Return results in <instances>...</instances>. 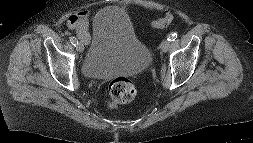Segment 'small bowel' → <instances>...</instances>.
<instances>
[{"mask_svg":"<svg viewBox=\"0 0 253 143\" xmlns=\"http://www.w3.org/2000/svg\"><path fill=\"white\" fill-rule=\"evenodd\" d=\"M91 10L89 8L78 11L74 14H71L67 18V25L69 28L75 31L79 39L85 43L89 40V21L88 16ZM172 21V15L169 12H166L161 18L155 20L151 23L152 27L163 28L167 26ZM158 22L156 26L153 23Z\"/></svg>","mask_w":253,"mask_h":143,"instance_id":"small-bowel-1","label":"small bowel"}]
</instances>
